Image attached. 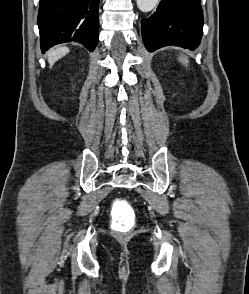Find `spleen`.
Instances as JSON below:
<instances>
[{"label": "spleen", "mask_w": 249, "mask_h": 294, "mask_svg": "<svg viewBox=\"0 0 249 294\" xmlns=\"http://www.w3.org/2000/svg\"><path fill=\"white\" fill-rule=\"evenodd\" d=\"M180 61L185 65H187L188 64V60L186 59V58H180Z\"/></svg>", "instance_id": "spleen-1"}]
</instances>
